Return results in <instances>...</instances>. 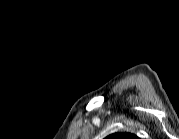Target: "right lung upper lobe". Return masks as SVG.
I'll return each mask as SVG.
<instances>
[{
	"mask_svg": "<svg viewBox=\"0 0 179 139\" xmlns=\"http://www.w3.org/2000/svg\"><path fill=\"white\" fill-rule=\"evenodd\" d=\"M133 138H136V136L130 133H115L107 137V139H133Z\"/></svg>",
	"mask_w": 179,
	"mask_h": 139,
	"instance_id": "obj_1",
	"label": "right lung upper lobe"
}]
</instances>
